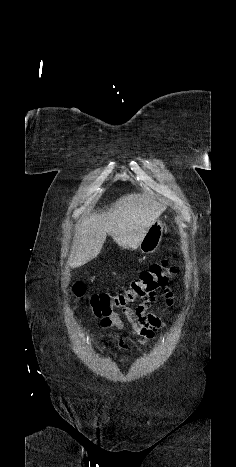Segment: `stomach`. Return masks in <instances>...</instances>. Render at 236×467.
Instances as JSON below:
<instances>
[{
    "mask_svg": "<svg viewBox=\"0 0 236 467\" xmlns=\"http://www.w3.org/2000/svg\"><path fill=\"white\" fill-rule=\"evenodd\" d=\"M163 235L162 221L156 220L147 230L139 249L142 253H153L159 246Z\"/></svg>",
    "mask_w": 236,
    "mask_h": 467,
    "instance_id": "0dacf381",
    "label": "stomach"
}]
</instances>
